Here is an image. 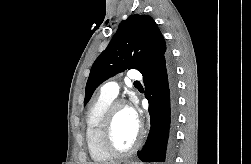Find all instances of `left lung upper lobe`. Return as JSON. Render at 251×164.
Wrapping results in <instances>:
<instances>
[{
    "label": "left lung upper lobe",
    "instance_id": "obj_1",
    "mask_svg": "<svg viewBox=\"0 0 251 164\" xmlns=\"http://www.w3.org/2000/svg\"><path fill=\"white\" fill-rule=\"evenodd\" d=\"M167 57L166 43L148 15H132L120 24L107 48L93 63L86 84L84 105L105 80L126 69L146 75Z\"/></svg>",
    "mask_w": 251,
    "mask_h": 164
}]
</instances>
